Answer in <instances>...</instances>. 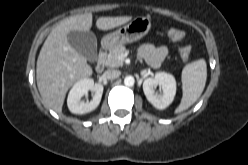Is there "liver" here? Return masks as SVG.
<instances>
[{"mask_svg": "<svg viewBox=\"0 0 248 165\" xmlns=\"http://www.w3.org/2000/svg\"><path fill=\"white\" fill-rule=\"evenodd\" d=\"M130 20V16L101 17L96 26L100 30H110ZM91 27V13L68 17L53 28L45 40L36 66L37 86L45 107L60 113L68 89L92 74L87 59L71 47L67 39L70 31H89Z\"/></svg>", "mask_w": 248, "mask_h": 165, "instance_id": "obj_1", "label": "liver"}]
</instances>
